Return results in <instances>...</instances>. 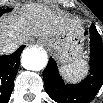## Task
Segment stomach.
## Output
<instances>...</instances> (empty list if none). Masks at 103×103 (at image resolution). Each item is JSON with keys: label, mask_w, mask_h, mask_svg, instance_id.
Returning <instances> with one entry per match:
<instances>
[{"label": "stomach", "mask_w": 103, "mask_h": 103, "mask_svg": "<svg viewBox=\"0 0 103 103\" xmlns=\"http://www.w3.org/2000/svg\"><path fill=\"white\" fill-rule=\"evenodd\" d=\"M41 42L55 55L57 60L68 65L81 59L84 53L85 34L82 28L53 37H44Z\"/></svg>", "instance_id": "0dacf381"}]
</instances>
